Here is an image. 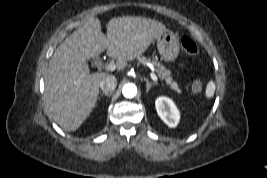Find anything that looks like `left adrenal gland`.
Returning a JSON list of instances; mask_svg holds the SVG:
<instances>
[{
	"label": "left adrenal gland",
	"instance_id": "a2214340",
	"mask_svg": "<svg viewBox=\"0 0 267 178\" xmlns=\"http://www.w3.org/2000/svg\"><path fill=\"white\" fill-rule=\"evenodd\" d=\"M146 81V92H149L150 88L155 85L156 83L149 82L148 79L145 78Z\"/></svg>",
	"mask_w": 267,
	"mask_h": 178
}]
</instances>
